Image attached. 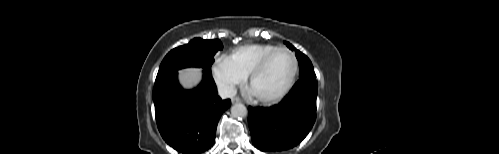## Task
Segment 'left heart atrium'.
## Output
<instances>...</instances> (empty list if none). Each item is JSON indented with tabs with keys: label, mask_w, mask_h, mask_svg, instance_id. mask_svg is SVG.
<instances>
[{
	"label": "left heart atrium",
	"mask_w": 499,
	"mask_h": 154,
	"mask_svg": "<svg viewBox=\"0 0 499 154\" xmlns=\"http://www.w3.org/2000/svg\"><path fill=\"white\" fill-rule=\"evenodd\" d=\"M249 93H250L251 95H255V94L253 93V91L251 90V88L249 89Z\"/></svg>",
	"instance_id": "1"
}]
</instances>
